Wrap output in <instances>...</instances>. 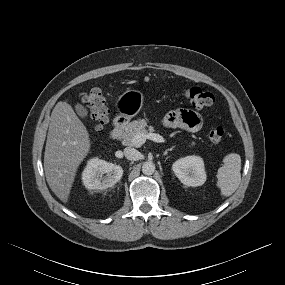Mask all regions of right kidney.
Here are the masks:
<instances>
[{"label": "right kidney", "mask_w": 285, "mask_h": 285, "mask_svg": "<svg viewBox=\"0 0 285 285\" xmlns=\"http://www.w3.org/2000/svg\"><path fill=\"white\" fill-rule=\"evenodd\" d=\"M123 175V169L119 165L106 162L99 158L88 161L82 173V181L87 189H107L115 185Z\"/></svg>", "instance_id": "1"}]
</instances>
